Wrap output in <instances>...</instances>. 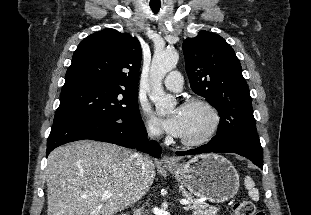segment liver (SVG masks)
<instances>
[{"mask_svg":"<svg viewBox=\"0 0 311 215\" xmlns=\"http://www.w3.org/2000/svg\"><path fill=\"white\" fill-rule=\"evenodd\" d=\"M119 146L77 141L58 147L46 167L47 215H114L140 200L155 177L148 157L144 170ZM110 191L103 200L95 193Z\"/></svg>","mask_w":311,"mask_h":215,"instance_id":"6515ba94","label":"liver"}]
</instances>
